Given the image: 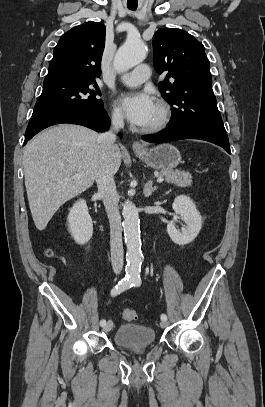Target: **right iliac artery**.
Returning a JSON list of instances; mask_svg holds the SVG:
<instances>
[{
    "mask_svg": "<svg viewBox=\"0 0 265 407\" xmlns=\"http://www.w3.org/2000/svg\"><path fill=\"white\" fill-rule=\"evenodd\" d=\"M133 286V281L129 279L128 277H125L121 281L118 282V284L111 290V295L116 296L123 291L131 288ZM106 324V320L102 319L100 321V325L104 326Z\"/></svg>",
    "mask_w": 265,
    "mask_h": 407,
    "instance_id": "82829eb1",
    "label": "right iliac artery"
}]
</instances>
